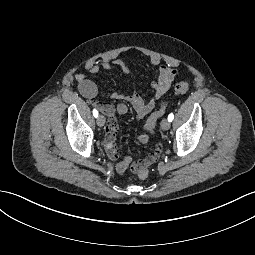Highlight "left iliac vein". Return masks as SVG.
<instances>
[{
	"instance_id": "4c4485c4",
	"label": "left iliac vein",
	"mask_w": 255,
	"mask_h": 255,
	"mask_svg": "<svg viewBox=\"0 0 255 255\" xmlns=\"http://www.w3.org/2000/svg\"><path fill=\"white\" fill-rule=\"evenodd\" d=\"M161 128L163 130H168L170 128V121L168 119H163L161 122Z\"/></svg>"
}]
</instances>
